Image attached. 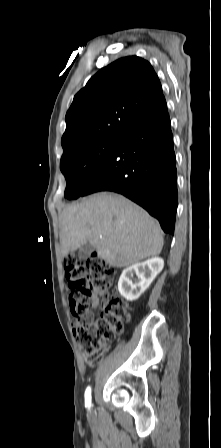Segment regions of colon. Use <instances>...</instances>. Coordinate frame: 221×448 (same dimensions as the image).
Listing matches in <instances>:
<instances>
[{
  "label": "colon",
  "instance_id": "obj_1",
  "mask_svg": "<svg viewBox=\"0 0 221 448\" xmlns=\"http://www.w3.org/2000/svg\"><path fill=\"white\" fill-rule=\"evenodd\" d=\"M114 274L113 268L97 255L85 259L69 255L64 260L70 310L79 317L74 337L91 366L101 362L107 346L129 318L126 305L115 295L108 299L98 318L93 319L90 312L93 299L108 294Z\"/></svg>",
  "mask_w": 221,
  "mask_h": 448
}]
</instances>
